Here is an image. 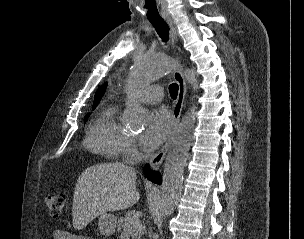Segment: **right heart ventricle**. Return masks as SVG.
<instances>
[{
  "mask_svg": "<svg viewBox=\"0 0 304 239\" xmlns=\"http://www.w3.org/2000/svg\"><path fill=\"white\" fill-rule=\"evenodd\" d=\"M116 113L115 105L102 110L89 125L84 141L88 149L108 159H117L120 156L127 137Z\"/></svg>",
  "mask_w": 304,
  "mask_h": 239,
  "instance_id": "right-heart-ventricle-1",
  "label": "right heart ventricle"
}]
</instances>
